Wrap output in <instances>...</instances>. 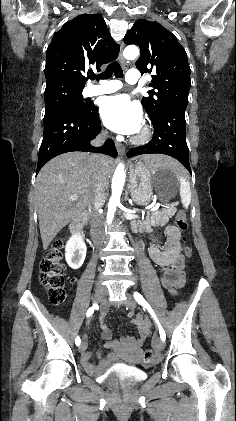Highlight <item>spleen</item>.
Wrapping results in <instances>:
<instances>
[{
    "label": "spleen",
    "instance_id": "1",
    "mask_svg": "<svg viewBox=\"0 0 236 421\" xmlns=\"http://www.w3.org/2000/svg\"><path fill=\"white\" fill-rule=\"evenodd\" d=\"M167 166H169V168H175L176 162H170V164H167ZM179 180L181 202L184 208H189V204L191 202L190 182H188L186 176H179Z\"/></svg>",
    "mask_w": 236,
    "mask_h": 421
}]
</instances>
